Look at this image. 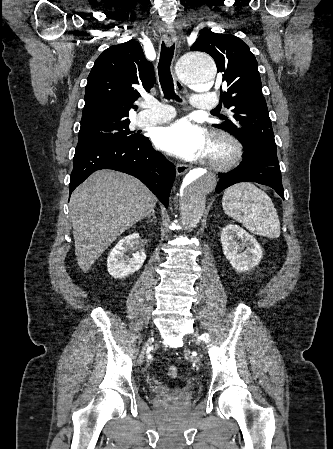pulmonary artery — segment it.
I'll use <instances>...</instances> for the list:
<instances>
[{
  "label": "pulmonary artery",
  "instance_id": "pulmonary-artery-1",
  "mask_svg": "<svg viewBox=\"0 0 333 449\" xmlns=\"http://www.w3.org/2000/svg\"><path fill=\"white\" fill-rule=\"evenodd\" d=\"M192 106L200 110H210L217 106L218 97L211 92H198L192 97ZM146 109L140 112L138 123L141 125H152L166 122L172 119L175 111L171 106L159 102H147Z\"/></svg>",
  "mask_w": 333,
  "mask_h": 449
}]
</instances>
